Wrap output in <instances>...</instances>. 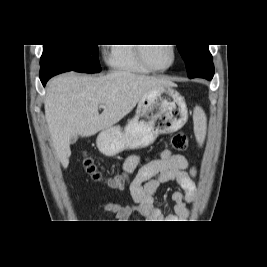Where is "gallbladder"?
Masks as SVG:
<instances>
[{"mask_svg":"<svg viewBox=\"0 0 267 267\" xmlns=\"http://www.w3.org/2000/svg\"><path fill=\"white\" fill-rule=\"evenodd\" d=\"M76 141H77V136H74L71 138L70 143L74 144V143H76Z\"/></svg>","mask_w":267,"mask_h":267,"instance_id":"obj_1","label":"gallbladder"}]
</instances>
